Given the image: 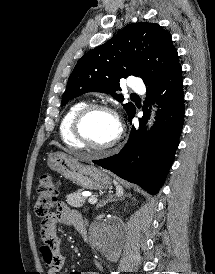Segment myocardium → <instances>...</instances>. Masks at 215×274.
<instances>
[{
  "label": "myocardium",
  "mask_w": 215,
  "mask_h": 274,
  "mask_svg": "<svg viewBox=\"0 0 215 274\" xmlns=\"http://www.w3.org/2000/svg\"><path fill=\"white\" fill-rule=\"evenodd\" d=\"M96 111H104L107 112L111 115H113L117 122H118V126H119V131L118 134L116 136V138L114 140H112L111 142L107 143V144H103V145H97L95 143H93L85 134L84 132V123L86 121V119L94 112ZM72 132L74 137L76 138V140L83 146L86 147L88 149H91L93 151H97V152H105L111 148H113L114 146H116L119 141L122 138L123 135V127L122 124L120 122L119 116L117 114V112L110 106L106 105V104H99V103H93V104H87L85 107H83L75 116L73 123H72Z\"/></svg>",
  "instance_id": "obj_1"
}]
</instances>
